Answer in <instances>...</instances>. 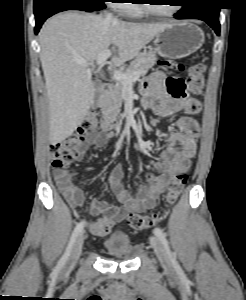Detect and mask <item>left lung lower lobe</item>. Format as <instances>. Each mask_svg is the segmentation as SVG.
Segmentation results:
<instances>
[{"label":"left lung lower lobe","instance_id":"1","mask_svg":"<svg viewBox=\"0 0 246 300\" xmlns=\"http://www.w3.org/2000/svg\"><path fill=\"white\" fill-rule=\"evenodd\" d=\"M219 11L220 7L215 0H189L174 17L176 19L194 18L203 20L219 35Z\"/></svg>","mask_w":246,"mask_h":300}]
</instances>
